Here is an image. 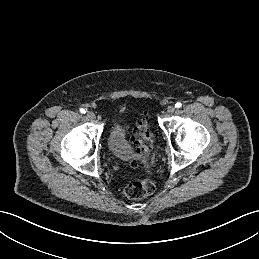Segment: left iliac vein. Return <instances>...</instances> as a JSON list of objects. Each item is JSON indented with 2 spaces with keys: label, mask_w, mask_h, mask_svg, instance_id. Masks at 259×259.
I'll use <instances>...</instances> for the list:
<instances>
[{
  "label": "left iliac vein",
  "mask_w": 259,
  "mask_h": 259,
  "mask_svg": "<svg viewBox=\"0 0 259 259\" xmlns=\"http://www.w3.org/2000/svg\"><path fill=\"white\" fill-rule=\"evenodd\" d=\"M175 107L174 106H169L168 108H167V113L168 114H173L174 112H175Z\"/></svg>",
  "instance_id": "left-iliac-vein-1"
}]
</instances>
